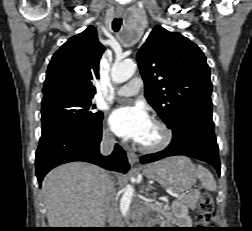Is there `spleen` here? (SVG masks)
<instances>
[{"label": "spleen", "instance_id": "obj_1", "mask_svg": "<svg viewBox=\"0 0 252 231\" xmlns=\"http://www.w3.org/2000/svg\"><path fill=\"white\" fill-rule=\"evenodd\" d=\"M196 176L202 182V186L209 191H216L217 185L213 175L203 166L199 165L196 169Z\"/></svg>", "mask_w": 252, "mask_h": 231}]
</instances>
